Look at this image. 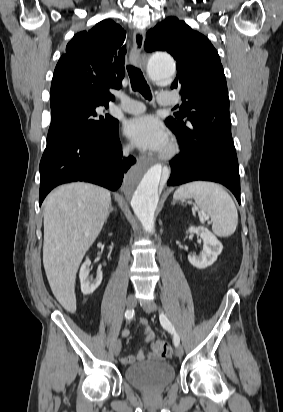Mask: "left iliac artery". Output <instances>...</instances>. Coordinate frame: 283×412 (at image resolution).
Here are the masks:
<instances>
[{
  "instance_id": "1",
  "label": "left iliac artery",
  "mask_w": 283,
  "mask_h": 412,
  "mask_svg": "<svg viewBox=\"0 0 283 412\" xmlns=\"http://www.w3.org/2000/svg\"><path fill=\"white\" fill-rule=\"evenodd\" d=\"M160 323L163 326L164 329H166L168 332H170L171 334H173V342L174 345L177 346L180 343V337L177 334L174 326L171 324V322L169 321V319L166 317V315L162 312L160 314Z\"/></svg>"
}]
</instances>
